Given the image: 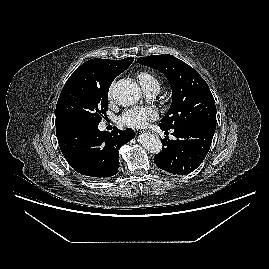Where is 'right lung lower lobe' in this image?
I'll list each match as a JSON object with an SVG mask.
<instances>
[{"label": "right lung lower lobe", "instance_id": "right-lung-lower-lobe-1", "mask_svg": "<svg viewBox=\"0 0 269 269\" xmlns=\"http://www.w3.org/2000/svg\"><path fill=\"white\" fill-rule=\"evenodd\" d=\"M62 154L69 165L90 180L112 177L119 168V149L134 138L131 129L100 131L98 125L56 128Z\"/></svg>", "mask_w": 269, "mask_h": 269}]
</instances>
